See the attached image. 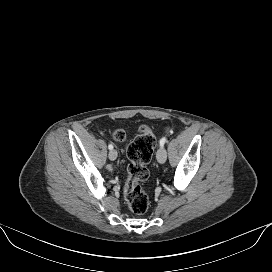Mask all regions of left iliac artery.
Masks as SVG:
<instances>
[{
	"label": "left iliac artery",
	"instance_id": "44dca946",
	"mask_svg": "<svg viewBox=\"0 0 272 272\" xmlns=\"http://www.w3.org/2000/svg\"><path fill=\"white\" fill-rule=\"evenodd\" d=\"M167 139L165 137H163L161 140H160V146L163 147L164 144L166 143Z\"/></svg>",
	"mask_w": 272,
	"mask_h": 272
}]
</instances>
